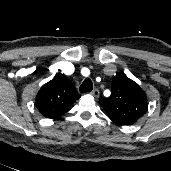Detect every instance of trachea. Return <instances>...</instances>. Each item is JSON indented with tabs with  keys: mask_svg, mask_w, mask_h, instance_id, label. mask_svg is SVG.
<instances>
[{
	"mask_svg": "<svg viewBox=\"0 0 171 171\" xmlns=\"http://www.w3.org/2000/svg\"><path fill=\"white\" fill-rule=\"evenodd\" d=\"M93 89V83L90 78H86L80 86V92H90Z\"/></svg>",
	"mask_w": 171,
	"mask_h": 171,
	"instance_id": "trachea-1",
	"label": "trachea"
}]
</instances>
